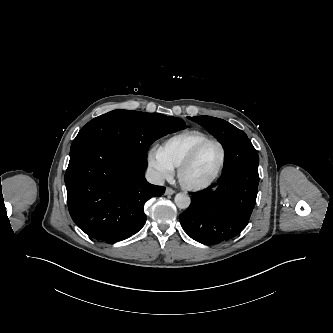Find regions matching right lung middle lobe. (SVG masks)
<instances>
[{"label":"right lung middle lobe","mask_w":333,"mask_h":333,"mask_svg":"<svg viewBox=\"0 0 333 333\" xmlns=\"http://www.w3.org/2000/svg\"><path fill=\"white\" fill-rule=\"evenodd\" d=\"M185 127L182 119L159 113L114 110L88 122L71 146L87 140L98 141L146 163L147 151L155 140Z\"/></svg>","instance_id":"right-lung-middle-lobe-1"}]
</instances>
